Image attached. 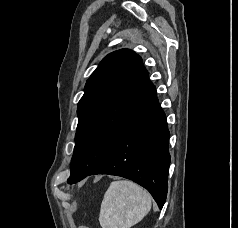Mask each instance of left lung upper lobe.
<instances>
[{
  "mask_svg": "<svg viewBox=\"0 0 238 228\" xmlns=\"http://www.w3.org/2000/svg\"><path fill=\"white\" fill-rule=\"evenodd\" d=\"M149 82L141 57L131 50L112 52L101 61L78 103L70 177L89 173L103 161Z\"/></svg>",
  "mask_w": 238,
  "mask_h": 228,
  "instance_id": "5c2ea615",
  "label": "left lung upper lobe"
}]
</instances>
